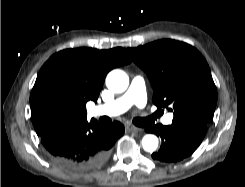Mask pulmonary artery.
<instances>
[{
	"mask_svg": "<svg viewBox=\"0 0 245 187\" xmlns=\"http://www.w3.org/2000/svg\"><path fill=\"white\" fill-rule=\"evenodd\" d=\"M147 102L146 87L143 78L137 76L132 79L127 91L111 103L92 108L91 113L94 116H115L126 112L131 106L137 105L143 107ZM156 119L155 115H152ZM173 120V114H168L162 119L164 124H170Z\"/></svg>",
	"mask_w": 245,
	"mask_h": 187,
	"instance_id": "1",
	"label": "pulmonary artery"
}]
</instances>
